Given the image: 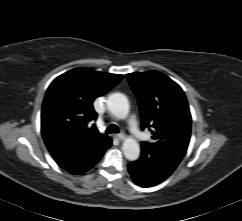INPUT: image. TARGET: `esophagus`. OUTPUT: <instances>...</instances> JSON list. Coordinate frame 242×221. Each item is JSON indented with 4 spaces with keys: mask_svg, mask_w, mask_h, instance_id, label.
Masks as SVG:
<instances>
[{
    "mask_svg": "<svg viewBox=\"0 0 242 221\" xmlns=\"http://www.w3.org/2000/svg\"><path fill=\"white\" fill-rule=\"evenodd\" d=\"M118 140H124L126 138V135L124 133L117 134L115 136Z\"/></svg>",
    "mask_w": 242,
    "mask_h": 221,
    "instance_id": "esophagus-1",
    "label": "esophagus"
}]
</instances>
